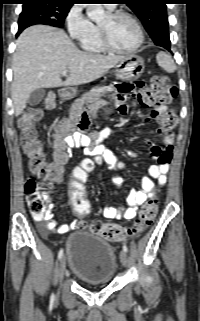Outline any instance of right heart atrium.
Wrapping results in <instances>:
<instances>
[{"label":"right heart atrium","mask_w":200,"mask_h":321,"mask_svg":"<svg viewBox=\"0 0 200 321\" xmlns=\"http://www.w3.org/2000/svg\"><path fill=\"white\" fill-rule=\"evenodd\" d=\"M65 23L69 35L73 39L80 40L93 28V23L84 14L80 5H73L65 18Z\"/></svg>","instance_id":"1"}]
</instances>
